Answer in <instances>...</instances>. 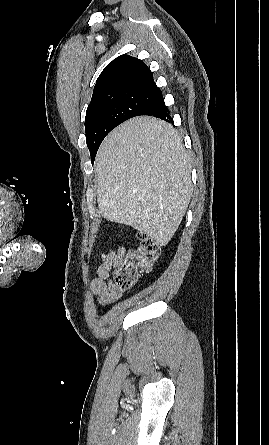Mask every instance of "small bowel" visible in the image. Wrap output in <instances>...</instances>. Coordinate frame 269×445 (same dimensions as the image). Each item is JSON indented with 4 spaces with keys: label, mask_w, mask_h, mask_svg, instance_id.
<instances>
[{
    "label": "small bowel",
    "mask_w": 269,
    "mask_h": 445,
    "mask_svg": "<svg viewBox=\"0 0 269 445\" xmlns=\"http://www.w3.org/2000/svg\"><path fill=\"white\" fill-rule=\"evenodd\" d=\"M126 250L118 248L103 254L101 264L97 268V277L91 282V293L99 307H104L115 302L121 295V291L110 281V273L125 256Z\"/></svg>",
    "instance_id": "small-bowel-1"
}]
</instances>
